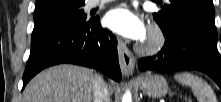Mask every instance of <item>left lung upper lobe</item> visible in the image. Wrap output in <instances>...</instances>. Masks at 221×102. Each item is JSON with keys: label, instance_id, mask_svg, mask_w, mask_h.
<instances>
[{"label": "left lung upper lobe", "instance_id": "left-lung-upper-lobe-1", "mask_svg": "<svg viewBox=\"0 0 221 102\" xmlns=\"http://www.w3.org/2000/svg\"><path fill=\"white\" fill-rule=\"evenodd\" d=\"M153 17L164 34L183 24H192L217 36L215 9L212 0H170Z\"/></svg>", "mask_w": 221, "mask_h": 102}]
</instances>
